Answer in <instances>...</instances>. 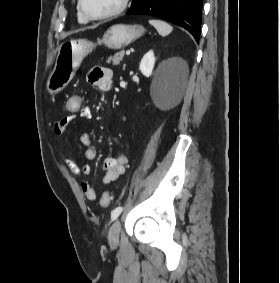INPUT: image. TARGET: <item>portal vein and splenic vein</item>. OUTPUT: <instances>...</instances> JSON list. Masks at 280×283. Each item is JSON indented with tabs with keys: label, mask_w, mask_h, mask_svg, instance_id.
I'll return each mask as SVG.
<instances>
[{
	"label": "portal vein and splenic vein",
	"mask_w": 280,
	"mask_h": 283,
	"mask_svg": "<svg viewBox=\"0 0 280 283\" xmlns=\"http://www.w3.org/2000/svg\"><path fill=\"white\" fill-rule=\"evenodd\" d=\"M131 51L130 50H127L126 51V55H130Z\"/></svg>",
	"instance_id": "portal-vein-and-splenic-vein-1"
}]
</instances>
